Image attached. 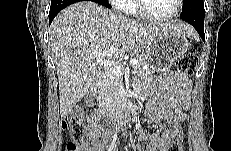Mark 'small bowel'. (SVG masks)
Masks as SVG:
<instances>
[{
	"label": "small bowel",
	"instance_id": "small-bowel-1",
	"mask_svg": "<svg viewBox=\"0 0 231 151\" xmlns=\"http://www.w3.org/2000/svg\"><path fill=\"white\" fill-rule=\"evenodd\" d=\"M147 88L152 91V98L146 107L148 120L157 125L156 132L139 131V141L148 142L145 148L137 146L136 151H168L172 141L171 126L174 122H183L189 109L190 81L181 73L167 72L151 80ZM99 116L88 119V140L80 146V151H106L107 132L99 125ZM170 123L168 126L166 123Z\"/></svg>",
	"mask_w": 231,
	"mask_h": 151
}]
</instances>
